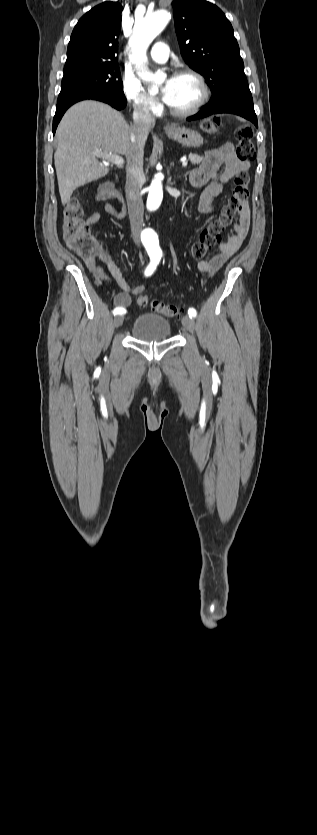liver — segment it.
Wrapping results in <instances>:
<instances>
[{
    "label": "liver",
    "instance_id": "liver-1",
    "mask_svg": "<svg viewBox=\"0 0 317 835\" xmlns=\"http://www.w3.org/2000/svg\"><path fill=\"white\" fill-rule=\"evenodd\" d=\"M130 133L123 115L104 103L86 100L67 110L56 130L54 154L63 205L77 187L108 174V167L98 161V152L127 157Z\"/></svg>",
    "mask_w": 317,
    "mask_h": 835
}]
</instances>
